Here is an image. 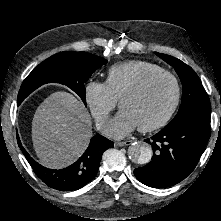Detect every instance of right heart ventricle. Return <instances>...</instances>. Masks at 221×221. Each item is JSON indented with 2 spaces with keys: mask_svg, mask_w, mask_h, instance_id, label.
<instances>
[{
  "mask_svg": "<svg viewBox=\"0 0 221 221\" xmlns=\"http://www.w3.org/2000/svg\"><path fill=\"white\" fill-rule=\"evenodd\" d=\"M163 70L159 65L144 60H128L111 65L106 71L105 83L113 96H119L145 75Z\"/></svg>",
  "mask_w": 221,
  "mask_h": 221,
  "instance_id": "1",
  "label": "right heart ventricle"
}]
</instances>
